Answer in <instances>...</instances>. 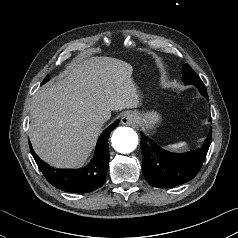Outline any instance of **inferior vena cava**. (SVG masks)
I'll return each instance as SVG.
<instances>
[{
  "mask_svg": "<svg viewBox=\"0 0 238 238\" xmlns=\"http://www.w3.org/2000/svg\"><path fill=\"white\" fill-rule=\"evenodd\" d=\"M107 120H108V118H106V117H99V118L97 119V123H98L99 125H102V124H104Z\"/></svg>",
  "mask_w": 238,
  "mask_h": 238,
  "instance_id": "obj_1",
  "label": "inferior vena cava"
}]
</instances>
